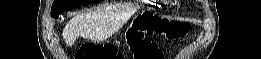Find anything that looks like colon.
Listing matches in <instances>:
<instances>
[{
	"label": "colon",
	"instance_id": "colon-1",
	"mask_svg": "<svg viewBox=\"0 0 261 59\" xmlns=\"http://www.w3.org/2000/svg\"><path fill=\"white\" fill-rule=\"evenodd\" d=\"M190 28L187 24L169 22L156 15H146L129 32L128 42L134 59H161L162 52L152 42V36H165L169 40L184 37ZM122 56L111 46L85 44L75 59H120Z\"/></svg>",
	"mask_w": 261,
	"mask_h": 59
}]
</instances>
